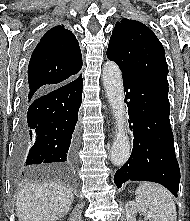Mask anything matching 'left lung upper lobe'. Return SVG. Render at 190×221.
<instances>
[{"instance_id":"1","label":"left lung upper lobe","mask_w":190,"mask_h":221,"mask_svg":"<svg viewBox=\"0 0 190 221\" xmlns=\"http://www.w3.org/2000/svg\"><path fill=\"white\" fill-rule=\"evenodd\" d=\"M107 57L123 74L168 85L165 50L153 31L139 21L122 19L115 25Z\"/></svg>"}]
</instances>
